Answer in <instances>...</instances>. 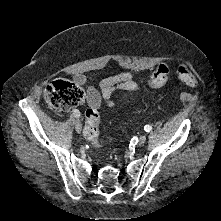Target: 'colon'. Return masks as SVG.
I'll return each instance as SVG.
<instances>
[{"instance_id": "5ec220e1", "label": "colon", "mask_w": 221, "mask_h": 221, "mask_svg": "<svg viewBox=\"0 0 221 221\" xmlns=\"http://www.w3.org/2000/svg\"><path fill=\"white\" fill-rule=\"evenodd\" d=\"M169 66L165 63L158 65L155 71L148 79V85L153 89L163 87L169 76ZM179 77L183 82L188 85H195L197 78L192 69L185 65L180 64L177 68ZM44 97L49 106L55 109H68L79 105L84 99L83 90L76 84L59 79L50 83L45 91ZM100 114L94 107L87 109L85 113V128L84 136L91 143L93 147H100L101 142L98 140L99 135Z\"/></svg>"}]
</instances>
